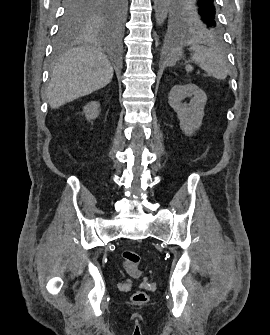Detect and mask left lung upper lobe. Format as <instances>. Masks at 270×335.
<instances>
[{
    "label": "left lung upper lobe",
    "instance_id": "1",
    "mask_svg": "<svg viewBox=\"0 0 270 335\" xmlns=\"http://www.w3.org/2000/svg\"><path fill=\"white\" fill-rule=\"evenodd\" d=\"M168 11L178 28L211 36L221 32L215 0H170Z\"/></svg>",
    "mask_w": 270,
    "mask_h": 335
}]
</instances>
